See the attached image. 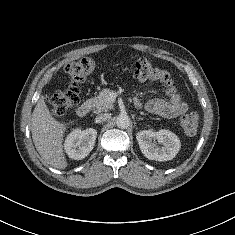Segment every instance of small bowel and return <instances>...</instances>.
Instances as JSON below:
<instances>
[{
  "mask_svg": "<svg viewBox=\"0 0 235 235\" xmlns=\"http://www.w3.org/2000/svg\"><path fill=\"white\" fill-rule=\"evenodd\" d=\"M134 102L137 107H141L142 103L139 99L136 98ZM145 108L151 114L173 119L187 111V104L182 100L181 96L175 92L169 100L159 98L149 100Z\"/></svg>",
  "mask_w": 235,
  "mask_h": 235,
  "instance_id": "1",
  "label": "small bowel"
}]
</instances>
